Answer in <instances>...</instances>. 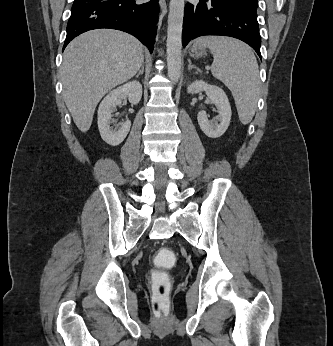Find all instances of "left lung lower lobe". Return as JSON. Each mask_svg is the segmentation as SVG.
<instances>
[{"label": "left lung lower lobe", "instance_id": "obj_1", "mask_svg": "<svg viewBox=\"0 0 333 346\" xmlns=\"http://www.w3.org/2000/svg\"><path fill=\"white\" fill-rule=\"evenodd\" d=\"M220 35L240 39L261 58V38L257 14L235 6L229 0H200L184 9L182 44L199 36Z\"/></svg>", "mask_w": 333, "mask_h": 346}]
</instances>
